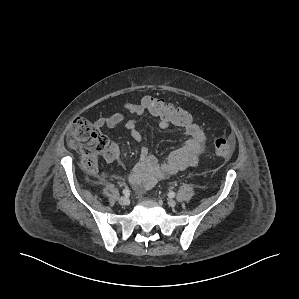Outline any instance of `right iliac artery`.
<instances>
[{
  "label": "right iliac artery",
  "mask_w": 299,
  "mask_h": 299,
  "mask_svg": "<svg viewBox=\"0 0 299 299\" xmlns=\"http://www.w3.org/2000/svg\"><path fill=\"white\" fill-rule=\"evenodd\" d=\"M122 193H123L125 196H128V195H130V190H129V189H124V190L122 191Z\"/></svg>",
  "instance_id": "82829eb1"
}]
</instances>
